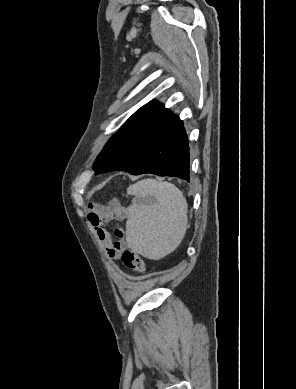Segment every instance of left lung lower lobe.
<instances>
[{
	"label": "left lung lower lobe",
	"instance_id": "1",
	"mask_svg": "<svg viewBox=\"0 0 296 389\" xmlns=\"http://www.w3.org/2000/svg\"><path fill=\"white\" fill-rule=\"evenodd\" d=\"M96 173L123 170L190 181L189 143L183 122L151 101L135 112L106 143Z\"/></svg>",
	"mask_w": 296,
	"mask_h": 389
}]
</instances>
